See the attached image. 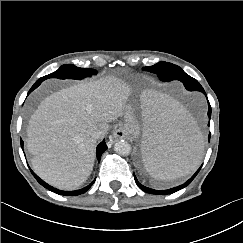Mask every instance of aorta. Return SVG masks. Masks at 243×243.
I'll use <instances>...</instances> for the list:
<instances>
[{"label":"aorta","instance_id":"obj_1","mask_svg":"<svg viewBox=\"0 0 243 243\" xmlns=\"http://www.w3.org/2000/svg\"><path fill=\"white\" fill-rule=\"evenodd\" d=\"M114 151L122 156H127L131 152V145L125 140H119L114 144Z\"/></svg>","mask_w":243,"mask_h":243}]
</instances>
